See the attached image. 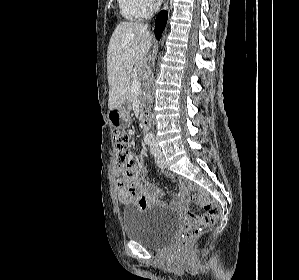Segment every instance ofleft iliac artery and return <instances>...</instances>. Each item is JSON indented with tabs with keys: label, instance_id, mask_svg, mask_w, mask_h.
I'll list each match as a JSON object with an SVG mask.
<instances>
[{
	"label": "left iliac artery",
	"instance_id": "44dca946",
	"mask_svg": "<svg viewBox=\"0 0 299 280\" xmlns=\"http://www.w3.org/2000/svg\"><path fill=\"white\" fill-rule=\"evenodd\" d=\"M150 150H151V153L153 154L154 157H156V158L160 157L161 151H160V149H159V147H158L155 140H152L150 142Z\"/></svg>",
	"mask_w": 299,
	"mask_h": 280
}]
</instances>
